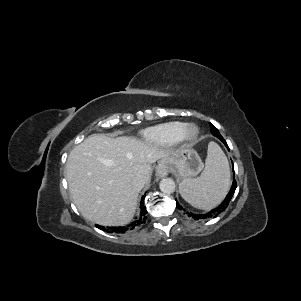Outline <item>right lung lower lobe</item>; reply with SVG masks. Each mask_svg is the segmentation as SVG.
Here are the masks:
<instances>
[{
  "mask_svg": "<svg viewBox=\"0 0 301 301\" xmlns=\"http://www.w3.org/2000/svg\"><path fill=\"white\" fill-rule=\"evenodd\" d=\"M140 208H141V212H140V217L138 220L132 222L130 225H128L126 228L125 227H108V229H105L104 227L102 226H99V225H96L97 228L99 229H102V230H106L108 233H124L125 231H127L128 229L132 230L134 229L136 226H140L142 225L143 223H145V220H146V207L144 206V197H142V200H141V205H140Z\"/></svg>",
  "mask_w": 301,
  "mask_h": 301,
  "instance_id": "1",
  "label": "right lung lower lobe"
}]
</instances>
